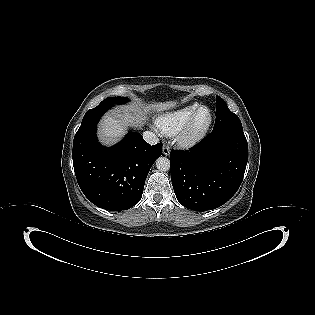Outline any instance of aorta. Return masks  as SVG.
Listing matches in <instances>:
<instances>
[{
  "label": "aorta",
  "mask_w": 315,
  "mask_h": 315,
  "mask_svg": "<svg viewBox=\"0 0 315 315\" xmlns=\"http://www.w3.org/2000/svg\"><path fill=\"white\" fill-rule=\"evenodd\" d=\"M156 167L161 172L170 170V160L166 157H159L156 160Z\"/></svg>",
  "instance_id": "obj_1"
}]
</instances>
